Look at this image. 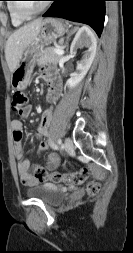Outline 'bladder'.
I'll list each match as a JSON object with an SVG mask.
<instances>
[{
  "label": "bladder",
  "instance_id": "31cf9c89",
  "mask_svg": "<svg viewBox=\"0 0 133 253\" xmlns=\"http://www.w3.org/2000/svg\"><path fill=\"white\" fill-rule=\"evenodd\" d=\"M27 195L31 198L41 200L49 205H56L63 201L65 193L51 185H36L27 190Z\"/></svg>",
  "mask_w": 133,
  "mask_h": 253
}]
</instances>
